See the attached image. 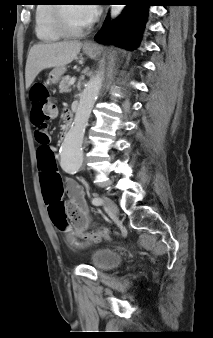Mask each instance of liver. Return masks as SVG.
Listing matches in <instances>:
<instances>
[{
  "label": "liver",
  "mask_w": 213,
  "mask_h": 338,
  "mask_svg": "<svg viewBox=\"0 0 213 338\" xmlns=\"http://www.w3.org/2000/svg\"><path fill=\"white\" fill-rule=\"evenodd\" d=\"M82 43L79 41L39 43L28 53L25 81L28 89L36 76L44 69L70 64L79 54Z\"/></svg>",
  "instance_id": "1"
}]
</instances>
